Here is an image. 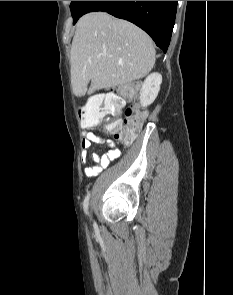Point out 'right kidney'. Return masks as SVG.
Returning a JSON list of instances; mask_svg holds the SVG:
<instances>
[{
	"instance_id": "ca27d5eb",
	"label": "right kidney",
	"mask_w": 233,
	"mask_h": 295,
	"mask_svg": "<svg viewBox=\"0 0 233 295\" xmlns=\"http://www.w3.org/2000/svg\"><path fill=\"white\" fill-rule=\"evenodd\" d=\"M162 83V76L159 73H152L147 76L141 85L139 99L143 107L152 104L156 99Z\"/></svg>"
}]
</instances>
